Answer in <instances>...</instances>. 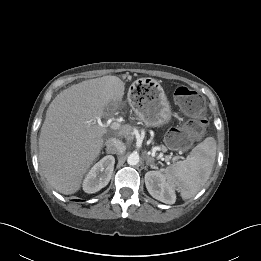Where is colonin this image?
<instances>
[{
    "instance_id": "obj_1",
    "label": "colon",
    "mask_w": 261,
    "mask_h": 261,
    "mask_svg": "<svg viewBox=\"0 0 261 261\" xmlns=\"http://www.w3.org/2000/svg\"><path fill=\"white\" fill-rule=\"evenodd\" d=\"M174 97L179 108L189 115L190 119L182 127L171 130L166 141L173 148H181L204 135L206 130L204 100L196 91L185 86L178 87Z\"/></svg>"
}]
</instances>
